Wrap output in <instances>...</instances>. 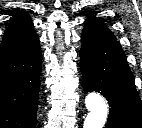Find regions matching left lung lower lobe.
I'll return each mask as SVG.
<instances>
[{
	"label": "left lung lower lobe",
	"instance_id": "obj_1",
	"mask_svg": "<svg viewBox=\"0 0 142 128\" xmlns=\"http://www.w3.org/2000/svg\"><path fill=\"white\" fill-rule=\"evenodd\" d=\"M80 50L86 92H100L108 100L107 128H142L141 99L125 53L113 34L85 22Z\"/></svg>",
	"mask_w": 142,
	"mask_h": 128
}]
</instances>
